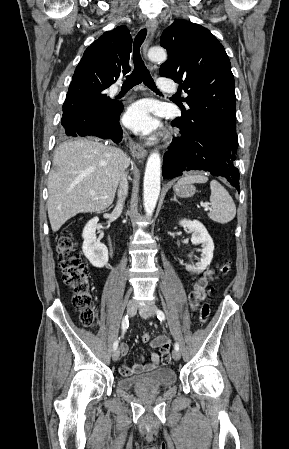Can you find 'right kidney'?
<instances>
[{
	"label": "right kidney",
	"mask_w": 289,
	"mask_h": 449,
	"mask_svg": "<svg viewBox=\"0 0 289 449\" xmlns=\"http://www.w3.org/2000/svg\"><path fill=\"white\" fill-rule=\"evenodd\" d=\"M98 221L99 219L94 217L85 225L82 233L84 239L82 251L94 267L102 268L108 263V249L96 237Z\"/></svg>",
	"instance_id": "ca27d5eb"
}]
</instances>
